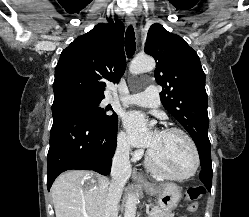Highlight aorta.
<instances>
[{"mask_svg": "<svg viewBox=\"0 0 249 217\" xmlns=\"http://www.w3.org/2000/svg\"><path fill=\"white\" fill-rule=\"evenodd\" d=\"M156 63L152 57L149 56H137L133 59L130 65V72L134 75L152 71L155 69ZM136 204L137 197L135 194L130 193L127 197L124 217H135L136 216Z\"/></svg>", "mask_w": 249, "mask_h": 217, "instance_id": "obj_1", "label": "aorta"}]
</instances>
